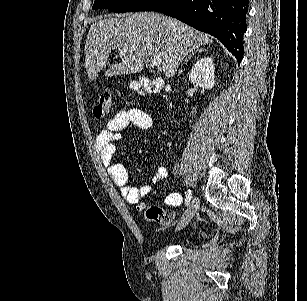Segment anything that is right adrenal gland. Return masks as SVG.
<instances>
[{
    "instance_id": "obj_1",
    "label": "right adrenal gland",
    "mask_w": 307,
    "mask_h": 301,
    "mask_svg": "<svg viewBox=\"0 0 307 301\" xmlns=\"http://www.w3.org/2000/svg\"><path fill=\"white\" fill-rule=\"evenodd\" d=\"M204 50H206V48H198V50H194V52H192V54H189V56H187V58H185L184 62L186 64L187 60H190V58H192V56H194V54H196V52H204Z\"/></svg>"
}]
</instances>
